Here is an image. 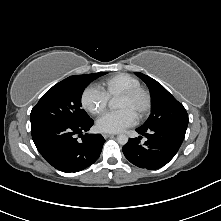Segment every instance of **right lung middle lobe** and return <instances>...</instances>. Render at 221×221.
Returning a JSON list of instances; mask_svg holds the SVG:
<instances>
[{
	"label": "right lung middle lobe",
	"instance_id": "1",
	"mask_svg": "<svg viewBox=\"0 0 221 221\" xmlns=\"http://www.w3.org/2000/svg\"><path fill=\"white\" fill-rule=\"evenodd\" d=\"M105 74L107 72L70 76L54 85L32 109L31 126L43 122L81 123L89 120L81 108L82 93L91 81Z\"/></svg>",
	"mask_w": 221,
	"mask_h": 221
}]
</instances>
